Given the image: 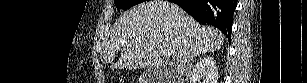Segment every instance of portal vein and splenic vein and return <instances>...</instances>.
<instances>
[{"mask_svg":"<svg viewBox=\"0 0 307 83\" xmlns=\"http://www.w3.org/2000/svg\"><path fill=\"white\" fill-rule=\"evenodd\" d=\"M175 51L172 50V49H167L165 52H164V55L165 56H172L174 55Z\"/></svg>","mask_w":307,"mask_h":83,"instance_id":"obj_1","label":"portal vein and splenic vein"}]
</instances>
